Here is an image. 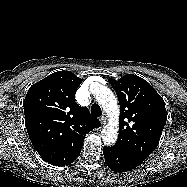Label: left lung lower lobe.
I'll list each match as a JSON object with an SVG mask.
<instances>
[{
    "label": "left lung lower lobe",
    "instance_id": "obj_1",
    "mask_svg": "<svg viewBox=\"0 0 187 187\" xmlns=\"http://www.w3.org/2000/svg\"><path fill=\"white\" fill-rule=\"evenodd\" d=\"M103 154L108 167L116 173L131 171L143 162L123 153L115 146H104Z\"/></svg>",
    "mask_w": 187,
    "mask_h": 187
}]
</instances>
